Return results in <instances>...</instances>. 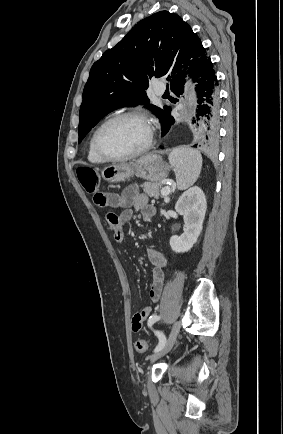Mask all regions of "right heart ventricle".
I'll list each match as a JSON object with an SVG mask.
<instances>
[{"mask_svg": "<svg viewBox=\"0 0 283 434\" xmlns=\"http://www.w3.org/2000/svg\"><path fill=\"white\" fill-rule=\"evenodd\" d=\"M88 159L90 162L95 163V164H101V163L106 162L101 157H99L97 155V153L95 152V150L93 148V144H92V138L90 139L89 146H88Z\"/></svg>", "mask_w": 283, "mask_h": 434, "instance_id": "obj_1", "label": "right heart ventricle"}]
</instances>
